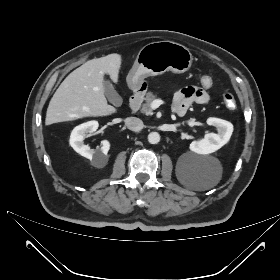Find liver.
<instances>
[{
  "instance_id": "obj_1",
  "label": "liver",
  "mask_w": 280,
  "mask_h": 280,
  "mask_svg": "<svg viewBox=\"0 0 280 280\" xmlns=\"http://www.w3.org/2000/svg\"><path fill=\"white\" fill-rule=\"evenodd\" d=\"M121 63V55L113 53L89 60L71 72L51 98L45 124L116 113L104 95V75L117 83Z\"/></svg>"
}]
</instances>
